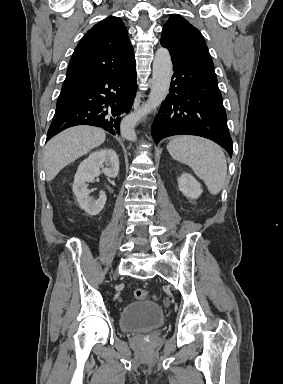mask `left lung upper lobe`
<instances>
[{"label": "left lung upper lobe", "mask_w": 283, "mask_h": 384, "mask_svg": "<svg viewBox=\"0 0 283 384\" xmlns=\"http://www.w3.org/2000/svg\"><path fill=\"white\" fill-rule=\"evenodd\" d=\"M161 45L168 48L172 57L214 69L202 34L179 15H171L165 23Z\"/></svg>", "instance_id": "5c2ea615"}]
</instances>
